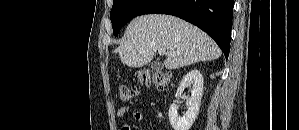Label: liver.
<instances>
[{
    "instance_id": "6515ba94",
    "label": "liver",
    "mask_w": 299,
    "mask_h": 130,
    "mask_svg": "<svg viewBox=\"0 0 299 130\" xmlns=\"http://www.w3.org/2000/svg\"><path fill=\"white\" fill-rule=\"evenodd\" d=\"M174 53L164 61L168 70L200 61H210L221 56L214 40L198 27L165 14L136 17L125 31V40L114 51L121 62L139 68L148 64L157 50Z\"/></svg>"
}]
</instances>
